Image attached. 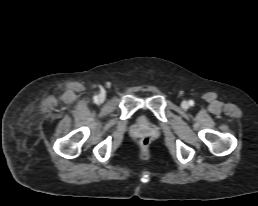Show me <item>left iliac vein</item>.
<instances>
[{"label":"left iliac vein","mask_w":258,"mask_h":206,"mask_svg":"<svg viewBox=\"0 0 258 206\" xmlns=\"http://www.w3.org/2000/svg\"><path fill=\"white\" fill-rule=\"evenodd\" d=\"M182 107H183V108H187V107H188V103H187L186 101H184V102L182 103Z\"/></svg>","instance_id":"1"}]
</instances>
